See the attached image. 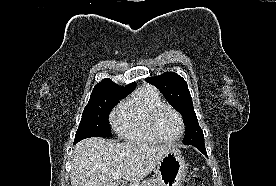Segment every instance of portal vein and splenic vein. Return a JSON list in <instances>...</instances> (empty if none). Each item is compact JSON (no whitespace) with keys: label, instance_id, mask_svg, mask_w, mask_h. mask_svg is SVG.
Masks as SVG:
<instances>
[{"label":"portal vein and splenic vein","instance_id":"obj_1","mask_svg":"<svg viewBox=\"0 0 276 186\" xmlns=\"http://www.w3.org/2000/svg\"><path fill=\"white\" fill-rule=\"evenodd\" d=\"M121 175H122L121 172H117V173L113 174L114 181H118L120 179Z\"/></svg>","mask_w":276,"mask_h":186}]
</instances>
